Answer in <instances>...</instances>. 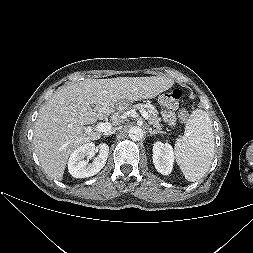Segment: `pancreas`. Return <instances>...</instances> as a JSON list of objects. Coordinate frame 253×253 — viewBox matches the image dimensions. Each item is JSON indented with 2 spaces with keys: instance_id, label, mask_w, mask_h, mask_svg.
Returning a JSON list of instances; mask_svg holds the SVG:
<instances>
[{
  "instance_id": "obj_1",
  "label": "pancreas",
  "mask_w": 253,
  "mask_h": 253,
  "mask_svg": "<svg viewBox=\"0 0 253 253\" xmlns=\"http://www.w3.org/2000/svg\"><path fill=\"white\" fill-rule=\"evenodd\" d=\"M135 108L139 109V110H145L148 115V123L150 125H152L157 131L164 133L162 130V124L161 122V118L158 116V111L155 109L154 106L150 105L147 106L146 104H137L135 106Z\"/></svg>"
}]
</instances>
